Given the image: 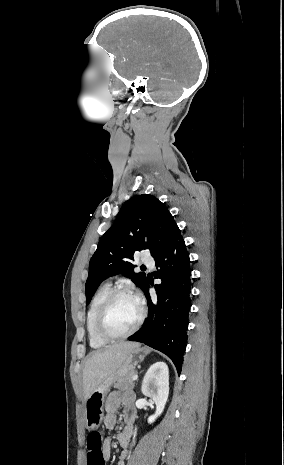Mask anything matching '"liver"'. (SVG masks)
<instances>
[{"instance_id": "liver-1", "label": "liver", "mask_w": 284, "mask_h": 465, "mask_svg": "<svg viewBox=\"0 0 284 465\" xmlns=\"http://www.w3.org/2000/svg\"><path fill=\"white\" fill-rule=\"evenodd\" d=\"M139 347L138 343H118L103 351L90 353L83 369L84 401L90 397L105 377H109L122 367L128 353Z\"/></svg>"}]
</instances>
